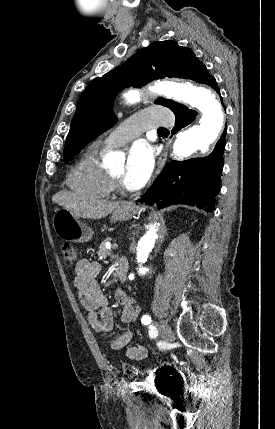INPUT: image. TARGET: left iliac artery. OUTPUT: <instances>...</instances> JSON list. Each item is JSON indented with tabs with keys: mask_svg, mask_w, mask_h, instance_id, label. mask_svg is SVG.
I'll use <instances>...</instances> for the list:
<instances>
[{
	"mask_svg": "<svg viewBox=\"0 0 275 429\" xmlns=\"http://www.w3.org/2000/svg\"><path fill=\"white\" fill-rule=\"evenodd\" d=\"M141 321H142V323H143L144 325H148V324H150V323H151V317H150L149 315H144V316L141 318Z\"/></svg>",
	"mask_w": 275,
	"mask_h": 429,
	"instance_id": "1",
	"label": "left iliac artery"
}]
</instances>
